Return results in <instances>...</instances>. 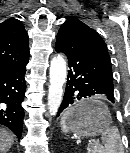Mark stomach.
<instances>
[{
	"instance_id": "stomach-1",
	"label": "stomach",
	"mask_w": 130,
	"mask_h": 153,
	"mask_svg": "<svg viewBox=\"0 0 130 153\" xmlns=\"http://www.w3.org/2000/svg\"><path fill=\"white\" fill-rule=\"evenodd\" d=\"M72 108L73 111L66 119V125L78 136L98 135L112 122L106 105L95 99L82 100Z\"/></svg>"
}]
</instances>
